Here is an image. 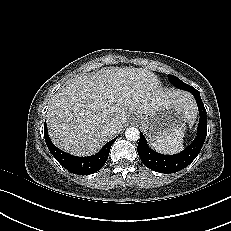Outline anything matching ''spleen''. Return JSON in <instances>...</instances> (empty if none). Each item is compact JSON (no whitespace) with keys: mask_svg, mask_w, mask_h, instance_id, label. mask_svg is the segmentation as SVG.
<instances>
[{"mask_svg":"<svg viewBox=\"0 0 231 231\" xmlns=\"http://www.w3.org/2000/svg\"><path fill=\"white\" fill-rule=\"evenodd\" d=\"M185 129L176 131L174 134L155 140L151 146L156 151L164 154H176L183 150Z\"/></svg>","mask_w":231,"mask_h":231,"instance_id":"spleen-1","label":"spleen"}]
</instances>
